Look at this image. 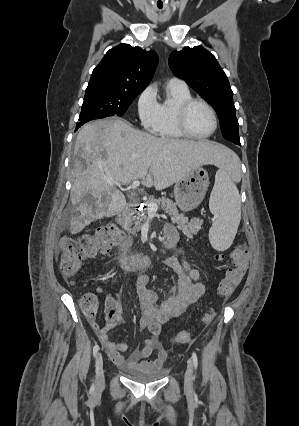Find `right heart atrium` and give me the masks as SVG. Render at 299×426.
<instances>
[{
  "instance_id": "obj_1",
  "label": "right heart atrium",
  "mask_w": 299,
  "mask_h": 426,
  "mask_svg": "<svg viewBox=\"0 0 299 426\" xmlns=\"http://www.w3.org/2000/svg\"><path fill=\"white\" fill-rule=\"evenodd\" d=\"M137 114L145 130L156 132L159 121V103L153 86H147L138 96Z\"/></svg>"
}]
</instances>
